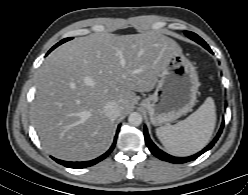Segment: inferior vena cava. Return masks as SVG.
<instances>
[{
	"instance_id": "obj_1",
	"label": "inferior vena cava",
	"mask_w": 248,
	"mask_h": 195,
	"mask_svg": "<svg viewBox=\"0 0 248 195\" xmlns=\"http://www.w3.org/2000/svg\"><path fill=\"white\" fill-rule=\"evenodd\" d=\"M103 112L111 120L117 119L121 114L120 106L116 101L107 102L103 108Z\"/></svg>"
}]
</instances>
